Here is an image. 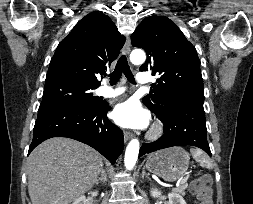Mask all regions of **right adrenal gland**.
Segmentation results:
<instances>
[{"mask_svg": "<svg viewBox=\"0 0 253 204\" xmlns=\"http://www.w3.org/2000/svg\"><path fill=\"white\" fill-rule=\"evenodd\" d=\"M99 182H107V174H106V171L104 168H102V171H101V176L98 177V179H96V185L99 184Z\"/></svg>", "mask_w": 253, "mask_h": 204, "instance_id": "right-adrenal-gland-1", "label": "right adrenal gland"}]
</instances>
